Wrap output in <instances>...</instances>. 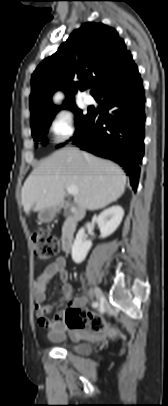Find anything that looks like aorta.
Returning <instances> with one entry per match:
<instances>
[{"label": "aorta", "mask_w": 168, "mask_h": 406, "mask_svg": "<svg viewBox=\"0 0 168 406\" xmlns=\"http://www.w3.org/2000/svg\"><path fill=\"white\" fill-rule=\"evenodd\" d=\"M62 99H63V95H62V93H60V92L56 93V94L54 95V98H53V100H54V102H55L56 104H59V103L62 101Z\"/></svg>", "instance_id": "762f6f07"}]
</instances>
